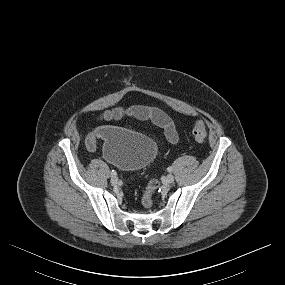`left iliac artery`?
<instances>
[{"label":"left iliac artery","instance_id":"44dca946","mask_svg":"<svg viewBox=\"0 0 285 285\" xmlns=\"http://www.w3.org/2000/svg\"><path fill=\"white\" fill-rule=\"evenodd\" d=\"M167 170H168V172H172L173 168L172 167H168Z\"/></svg>","mask_w":285,"mask_h":285}]
</instances>
